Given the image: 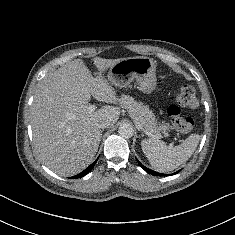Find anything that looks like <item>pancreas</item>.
<instances>
[{
	"label": "pancreas",
	"mask_w": 235,
	"mask_h": 235,
	"mask_svg": "<svg viewBox=\"0 0 235 235\" xmlns=\"http://www.w3.org/2000/svg\"><path fill=\"white\" fill-rule=\"evenodd\" d=\"M119 101L121 107L128 110L130 117L143 130L152 134L165 133L169 130V124L164 122L158 124L153 112L142 102H137L128 95H122Z\"/></svg>",
	"instance_id": "obj_1"
}]
</instances>
